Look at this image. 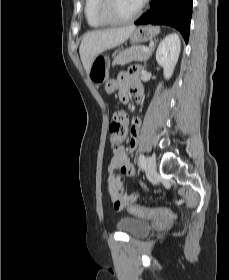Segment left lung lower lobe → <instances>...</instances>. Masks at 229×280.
Instances as JSON below:
<instances>
[{
    "label": "left lung lower lobe",
    "mask_w": 229,
    "mask_h": 280,
    "mask_svg": "<svg viewBox=\"0 0 229 280\" xmlns=\"http://www.w3.org/2000/svg\"><path fill=\"white\" fill-rule=\"evenodd\" d=\"M192 2L193 0H152L149 10L135 24L172 26L188 42Z\"/></svg>",
    "instance_id": "0a47b994"
}]
</instances>
